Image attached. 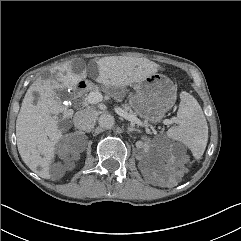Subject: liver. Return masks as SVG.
Listing matches in <instances>:
<instances>
[{
  "mask_svg": "<svg viewBox=\"0 0 241 241\" xmlns=\"http://www.w3.org/2000/svg\"><path fill=\"white\" fill-rule=\"evenodd\" d=\"M97 65L96 82L107 87L123 88L139 83L157 72L153 62L140 58L103 57L94 61ZM72 61L66 62L56 73L57 80L35 81L27 90L16 120L17 147L23 162L42 178H50L49 162L56 143L62 137L55 116L61 110L55 97L56 88L75 89L87 76L83 71L75 74ZM61 82V83H58ZM35 94L38 101L33 103ZM38 168H40L38 170Z\"/></svg>",
  "mask_w": 241,
  "mask_h": 241,
  "instance_id": "liver-1",
  "label": "liver"
}]
</instances>
